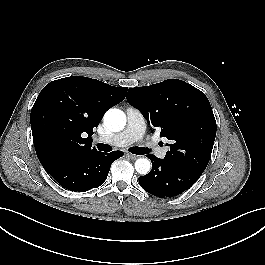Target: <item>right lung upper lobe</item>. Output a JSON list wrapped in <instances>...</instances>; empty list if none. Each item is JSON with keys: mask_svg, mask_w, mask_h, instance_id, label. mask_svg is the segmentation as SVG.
Wrapping results in <instances>:
<instances>
[{"mask_svg": "<svg viewBox=\"0 0 265 265\" xmlns=\"http://www.w3.org/2000/svg\"><path fill=\"white\" fill-rule=\"evenodd\" d=\"M127 91L126 87L79 76L47 84L30 115L33 142L42 166L97 152L92 148L93 128L108 109L126 97Z\"/></svg>", "mask_w": 265, "mask_h": 265, "instance_id": "right-lung-upper-lobe-1", "label": "right lung upper lobe"}]
</instances>
